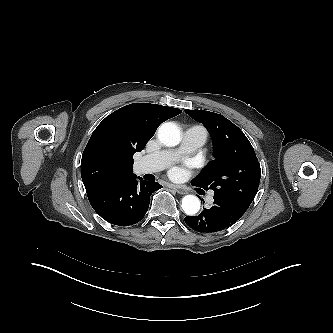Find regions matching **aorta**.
Returning a JSON list of instances; mask_svg holds the SVG:
<instances>
[{
  "label": "aorta",
  "mask_w": 333,
  "mask_h": 333,
  "mask_svg": "<svg viewBox=\"0 0 333 333\" xmlns=\"http://www.w3.org/2000/svg\"><path fill=\"white\" fill-rule=\"evenodd\" d=\"M158 138L166 146H176L181 141V132L173 122L163 123L158 129ZM200 200L195 195H186L182 199V209L185 214L195 215L200 209Z\"/></svg>",
  "instance_id": "1"
}]
</instances>
